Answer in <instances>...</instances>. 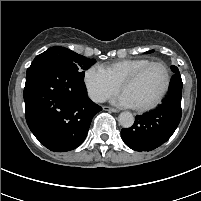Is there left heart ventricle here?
Masks as SVG:
<instances>
[{"mask_svg": "<svg viewBox=\"0 0 201 201\" xmlns=\"http://www.w3.org/2000/svg\"><path fill=\"white\" fill-rule=\"evenodd\" d=\"M165 83V73L161 66L146 69L133 83L123 89L133 106L152 102L161 92Z\"/></svg>", "mask_w": 201, "mask_h": 201, "instance_id": "1", "label": "left heart ventricle"}]
</instances>
